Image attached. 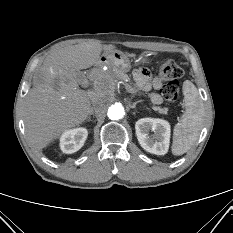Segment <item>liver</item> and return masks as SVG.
I'll use <instances>...</instances> for the list:
<instances>
[{"instance_id": "obj_1", "label": "liver", "mask_w": 233, "mask_h": 233, "mask_svg": "<svg viewBox=\"0 0 233 233\" xmlns=\"http://www.w3.org/2000/svg\"><path fill=\"white\" fill-rule=\"evenodd\" d=\"M117 51L112 44L89 41L51 52L34 75V87L24 103L25 131L29 143L41 150L69 128L87 120L91 101L79 89L76 72L94 65L101 52Z\"/></svg>"}]
</instances>
